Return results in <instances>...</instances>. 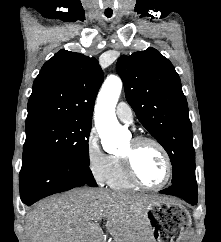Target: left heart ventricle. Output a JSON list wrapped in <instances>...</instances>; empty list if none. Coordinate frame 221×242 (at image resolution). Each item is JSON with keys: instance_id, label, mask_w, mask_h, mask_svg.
<instances>
[{"instance_id": "b2bd125f", "label": "left heart ventricle", "mask_w": 221, "mask_h": 242, "mask_svg": "<svg viewBox=\"0 0 221 242\" xmlns=\"http://www.w3.org/2000/svg\"><path fill=\"white\" fill-rule=\"evenodd\" d=\"M132 147L131 140L124 147L122 153L130 151ZM134 164L138 175L148 185H157L165 178V159L159 149L152 144H144L136 149Z\"/></svg>"}]
</instances>
